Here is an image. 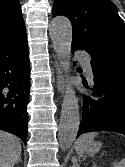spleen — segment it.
Here are the masks:
<instances>
[{
	"instance_id": "spleen-1",
	"label": "spleen",
	"mask_w": 125,
	"mask_h": 167,
	"mask_svg": "<svg viewBox=\"0 0 125 167\" xmlns=\"http://www.w3.org/2000/svg\"><path fill=\"white\" fill-rule=\"evenodd\" d=\"M96 135L97 133L95 132L82 135L75 143L76 152L79 155H82L86 151L89 142H91ZM113 167H125V159L120 161H115L113 163Z\"/></svg>"
}]
</instances>
